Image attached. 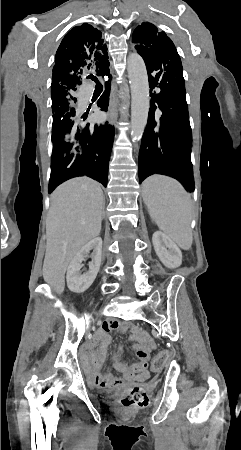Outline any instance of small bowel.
Listing matches in <instances>:
<instances>
[{
	"label": "small bowel",
	"mask_w": 241,
	"mask_h": 450,
	"mask_svg": "<svg viewBox=\"0 0 241 450\" xmlns=\"http://www.w3.org/2000/svg\"><path fill=\"white\" fill-rule=\"evenodd\" d=\"M130 332V340L133 343L136 360L133 363L125 362L121 359L122 346L112 358L114 373H101V363L104 361L107 348L111 342V332ZM98 345L93 356H86L84 363L88 365L89 377L94 386L98 388L122 387L135 383H145L149 377V360L151 353L157 348L153 337L140 326L120 320L105 322L95 339L86 344L87 348Z\"/></svg>",
	"instance_id": "1"
}]
</instances>
